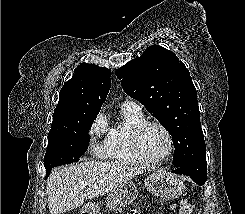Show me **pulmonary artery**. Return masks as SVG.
Wrapping results in <instances>:
<instances>
[{
	"label": "pulmonary artery",
	"mask_w": 245,
	"mask_h": 214,
	"mask_svg": "<svg viewBox=\"0 0 245 214\" xmlns=\"http://www.w3.org/2000/svg\"><path fill=\"white\" fill-rule=\"evenodd\" d=\"M131 102H133V101H131ZM134 103H136V102H134ZM136 104L141 107V105H139L138 103H136Z\"/></svg>",
	"instance_id": "e3ab8cb5"
}]
</instances>
